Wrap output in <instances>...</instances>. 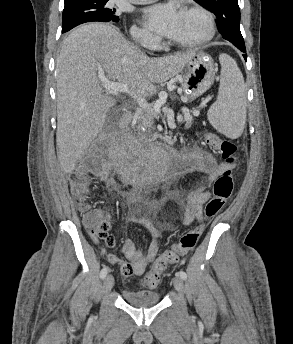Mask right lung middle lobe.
I'll return each instance as SVG.
<instances>
[{"instance_id":"dd1d6c3e","label":"right lung middle lobe","mask_w":293,"mask_h":344,"mask_svg":"<svg viewBox=\"0 0 293 344\" xmlns=\"http://www.w3.org/2000/svg\"><path fill=\"white\" fill-rule=\"evenodd\" d=\"M109 0H77L65 3L62 16V32H67L77 25L92 22H118L115 9L108 8Z\"/></svg>"}]
</instances>
